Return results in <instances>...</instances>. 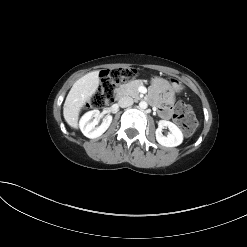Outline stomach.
<instances>
[{
	"mask_svg": "<svg viewBox=\"0 0 247 247\" xmlns=\"http://www.w3.org/2000/svg\"><path fill=\"white\" fill-rule=\"evenodd\" d=\"M167 82L170 88L175 92H180L183 89L181 82L175 78H170Z\"/></svg>",
	"mask_w": 247,
	"mask_h": 247,
	"instance_id": "0dacf381",
	"label": "stomach"
}]
</instances>
